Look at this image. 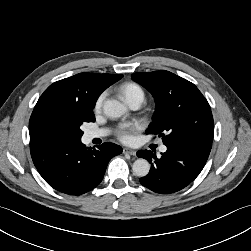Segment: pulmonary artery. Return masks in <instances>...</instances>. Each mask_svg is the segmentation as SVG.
I'll use <instances>...</instances> for the list:
<instances>
[{
  "instance_id": "pulmonary-artery-1",
  "label": "pulmonary artery",
  "mask_w": 251,
  "mask_h": 251,
  "mask_svg": "<svg viewBox=\"0 0 251 251\" xmlns=\"http://www.w3.org/2000/svg\"><path fill=\"white\" fill-rule=\"evenodd\" d=\"M142 102L140 101H135L133 103L130 104V106L133 108V109H138L140 106H141ZM105 135V131L104 130H91V131H87L85 133V138L88 140V141H91L95 138H99V137H102ZM167 150V147L166 146H161L160 147V151L161 152H165Z\"/></svg>"
}]
</instances>
